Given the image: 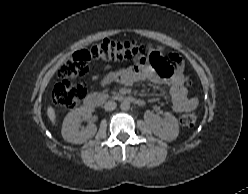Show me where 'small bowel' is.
Here are the masks:
<instances>
[{
  "label": "small bowel",
  "instance_id": "c3829d8e",
  "mask_svg": "<svg viewBox=\"0 0 248 194\" xmlns=\"http://www.w3.org/2000/svg\"><path fill=\"white\" fill-rule=\"evenodd\" d=\"M172 60L177 64L175 71L164 59L160 66H156L149 57H141L135 66L111 72L102 80V85H108L114 80L126 85L138 81H149L168 89L173 109L176 112L184 113L194 110L198 105V99L188 94L185 86L188 76L184 72L181 59L174 56Z\"/></svg>",
  "mask_w": 248,
  "mask_h": 194
}]
</instances>
